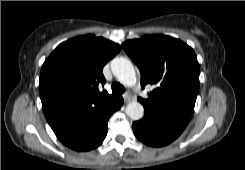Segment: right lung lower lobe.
Returning a JSON list of instances; mask_svg holds the SVG:
<instances>
[{
	"mask_svg": "<svg viewBox=\"0 0 245 170\" xmlns=\"http://www.w3.org/2000/svg\"><path fill=\"white\" fill-rule=\"evenodd\" d=\"M122 104L123 98L119 96L80 137L66 146L76 151H89L99 146L107 135L110 116L119 110Z\"/></svg>",
	"mask_w": 245,
	"mask_h": 170,
	"instance_id": "right-lung-lower-lobe-1",
	"label": "right lung lower lobe"
}]
</instances>
